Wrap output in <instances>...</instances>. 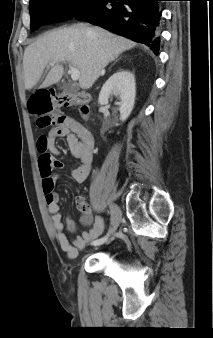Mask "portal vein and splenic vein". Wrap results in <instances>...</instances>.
Masks as SVG:
<instances>
[{
    "mask_svg": "<svg viewBox=\"0 0 213 338\" xmlns=\"http://www.w3.org/2000/svg\"><path fill=\"white\" fill-rule=\"evenodd\" d=\"M50 65L52 66L53 63H50ZM70 74H71V79L73 81H77L80 77V71L77 68L72 67V66H70Z\"/></svg>",
    "mask_w": 213,
    "mask_h": 338,
    "instance_id": "1",
    "label": "portal vein and splenic vein"
}]
</instances>
